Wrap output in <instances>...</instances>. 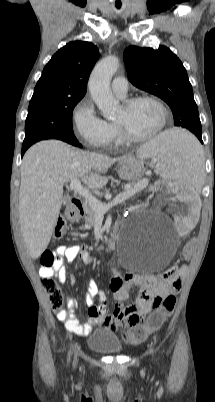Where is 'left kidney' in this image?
<instances>
[{"label":"left kidney","mask_w":215,"mask_h":402,"mask_svg":"<svg viewBox=\"0 0 215 402\" xmlns=\"http://www.w3.org/2000/svg\"><path fill=\"white\" fill-rule=\"evenodd\" d=\"M176 183V182H175ZM151 191H157V186H151ZM162 200H172V210L178 218V238L185 240L187 232H195V222L200 221V200H196L197 194L192 191L189 184H174L173 179H165L164 184L158 186Z\"/></svg>","instance_id":"obj_1"}]
</instances>
